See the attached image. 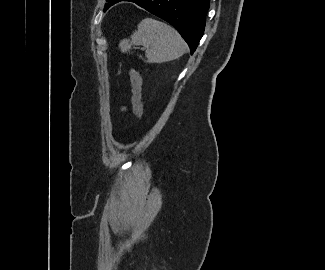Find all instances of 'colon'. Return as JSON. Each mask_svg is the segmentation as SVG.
<instances>
[{"label": "colon", "mask_w": 325, "mask_h": 270, "mask_svg": "<svg viewBox=\"0 0 325 270\" xmlns=\"http://www.w3.org/2000/svg\"><path fill=\"white\" fill-rule=\"evenodd\" d=\"M129 77L131 81L133 111L135 116L140 119L143 115L142 79L140 74L132 67L129 68Z\"/></svg>", "instance_id": "colon-1"}]
</instances>
